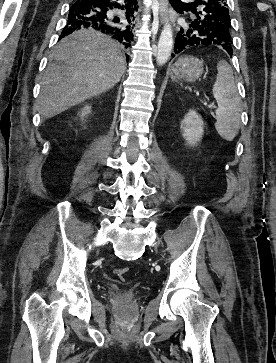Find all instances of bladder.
I'll return each mask as SVG.
<instances>
[{
    "label": "bladder",
    "instance_id": "obj_1",
    "mask_svg": "<svg viewBox=\"0 0 276 363\" xmlns=\"http://www.w3.org/2000/svg\"><path fill=\"white\" fill-rule=\"evenodd\" d=\"M125 297L128 299H131L134 295V290L132 288H129L127 290H125Z\"/></svg>",
    "mask_w": 276,
    "mask_h": 363
}]
</instances>
